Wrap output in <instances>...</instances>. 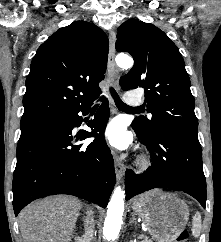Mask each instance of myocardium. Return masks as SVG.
Here are the masks:
<instances>
[{"label":"myocardium","instance_id":"obj_1","mask_svg":"<svg viewBox=\"0 0 221 242\" xmlns=\"http://www.w3.org/2000/svg\"><path fill=\"white\" fill-rule=\"evenodd\" d=\"M139 164H140L142 167L147 166V164H148V160H147V158H142V159H140Z\"/></svg>","mask_w":221,"mask_h":242}]
</instances>
